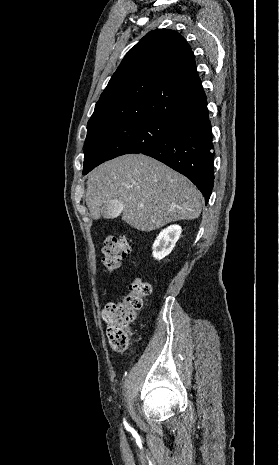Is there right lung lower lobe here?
Instances as JSON below:
<instances>
[{"label":"right lung lower lobe","mask_w":279,"mask_h":465,"mask_svg":"<svg viewBox=\"0 0 279 465\" xmlns=\"http://www.w3.org/2000/svg\"><path fill=\"white\" fill-rule=\"evenodd\" d=\"M206 106L207 103L180 116L164 139L141 153L188 177L202 192L207 204L214 183V151Z\"/></svg>","instance_id":"1"}]
</instances>
